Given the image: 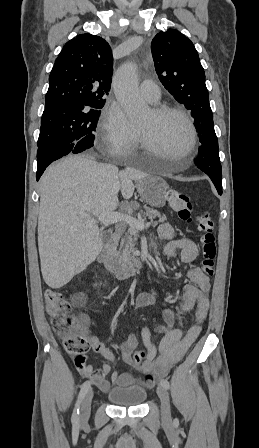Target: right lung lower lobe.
<instances>
[{"instance_id": "obj_1", "label": "right lung lower lobe", "mask_w": 259, "mask_h": 448, "mask_svg": "<svg viewBox=\"0 0 259 448\" xmlns=\"http://www.w3.org/2000/svg\"><path fill=\"white\" fill-rule=\"evenodd\" d=\"M75 144H53L38 147L37 151V173L36 178L39 180L46 167L53 161L66 156L69 153H75Z\"/></svg>"}]
</instances>
